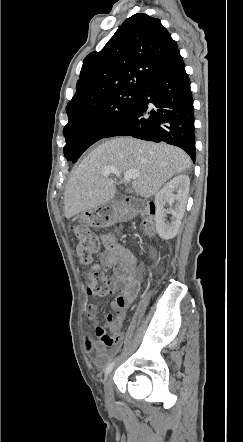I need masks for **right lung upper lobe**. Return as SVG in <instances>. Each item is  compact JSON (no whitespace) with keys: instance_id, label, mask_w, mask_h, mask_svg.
Segmentation results:
<instances>
[{"instance_id":"obj_1","label":"right lung upper lobe","mask_w":243,"mask_h":442,"mask_svg":"<svg viewBox=\"0 0 243 442\" xmlns=\"http://www.w3.org/2000/svg\"><path fill=\"white\" fill-rule=\"evenodd\" d=\"M178 52L176 41L159 19L143 13L129 17L100 52L85 57L76 93L66 107L68 117L112 95L140 91Z\"/></svg>"}]
</instances>
